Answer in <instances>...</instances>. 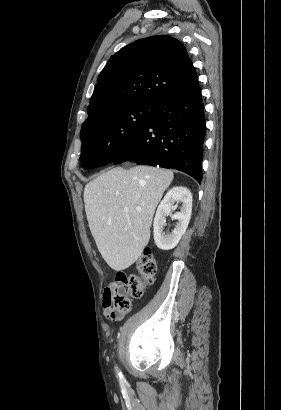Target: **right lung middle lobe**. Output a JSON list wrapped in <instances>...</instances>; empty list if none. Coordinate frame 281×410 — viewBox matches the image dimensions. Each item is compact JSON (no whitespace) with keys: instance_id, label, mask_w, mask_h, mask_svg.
Here are the masks:
<instances>
[{"instance_id":"1","label":"right lung middle lobe","mask_w":281,"mask_h":410,"mask_svg":"<svg viewBox=\"0 0 281 410\" xmlns=\"http://www.w3.org/2000/svg\"><path fill=\"white\" fill-rule=\"evenodd\" d=\"M153 106L129 105L105 110L81 129L80 161L84 168L113 162L152 119Z\"/></svg>"}]
</instances>
